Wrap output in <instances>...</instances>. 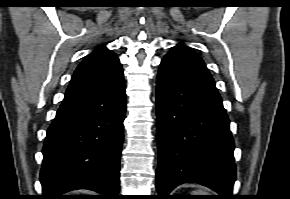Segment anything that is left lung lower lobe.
Listing matches in <instances>:
<instances>
[{
  "mask_svg": "<svg viewBox=\"0 0 290 199\" xmlns=\"http://www.w3.org/2000/svg\"><path fill=\"white\" fill-rule=\"evenodd\" d=\"M158 169L162 199L178 185L196 182L232 199L234 141L222 99L205 64L170 50L157 76Z\"/></svg>",
  "mask_w": 290,
  "mask_h": 199,
  "instance_id": "left-lung-lower-lobe-1",
  "label": "left lung lower lobe"
}]
</instances>
